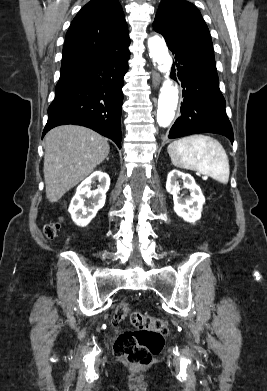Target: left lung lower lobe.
Returning <instances> with one entry per match:
<instances>
[{
	"instance_id": "1",
	"label": "left lung lower lobe",
	"mask_w": 267,
	"mask_h": 391,
	"mask_svg": "<svg viewBox=\"0 0 267 391\" xmlns=\"http://www.w3.org/2000/svg\"><path fill=\"white\" fill-rule=\"evenodd\" d=\"M174 54L171 78L182 82L184 97L181 115L168 138L196 133H215L233 142V129L225 112V99L219 89L216 63L206 54L166 42Z\"/></svg>"
}]
</instances>
